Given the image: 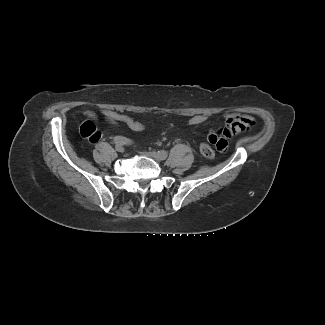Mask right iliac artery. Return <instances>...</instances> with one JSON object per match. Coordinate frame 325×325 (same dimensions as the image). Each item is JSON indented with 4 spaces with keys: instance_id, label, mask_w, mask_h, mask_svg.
<instances>
[{
    "instance_id": "obj_1",
    "label": "right iliac artery",
    "mask_w": 325,
    "mask_h": 325,
    "mask_svg": "<svg viewBox=\"0 0 325 325\" xmlns=\"http://www.w3.org/2000/svg\"><path fill=\"white\" fill-rule=\"evenodd\" d=\"M116 143H117V146H119V145H123V144H131L132 141L129 139L123 138V137H117Z\"/></svg>"
}]
</instances>
